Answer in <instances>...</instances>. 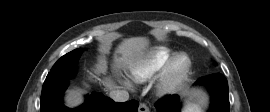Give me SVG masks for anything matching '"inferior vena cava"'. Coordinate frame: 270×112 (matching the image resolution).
Instances as JSON below:
<instances>
[{
  "label": "inferior vena cava",
  "instance_id": "602c4592",
  "mask_svg": "<svg viewBox=\"0 0 270 112\" xmlns=\"http://www.w3.org/2000/svg\"><path fill=\"white\" fill-rule=\"evenodd\" d=\"M109 96L116 102H125L129 99V93L126 90H112Z\"/></svg>",
  "mask_w": 270,
  "mask_h": 112
}]
</instances>
